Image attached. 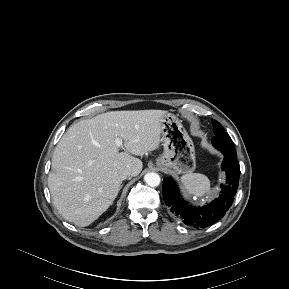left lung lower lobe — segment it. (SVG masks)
I'll use <instances>...</instances> for the list:
<instances>
[{"label": "left lung lower lobe", "mask_w": 289, "mask_h": 289, "mask_svg": "<svg viewBox=\"0 0 289 289\" xmlns=\"http://www.w3.org/2000/svg\"><path fill=\"white\" fill-rule=\"evenodd\" d=\"M224 154L222 170L226 173V183L221 185L219 196L202 207L189 205L180 193L176 183L170 179L163 180V198L170 211L181 218L186 225L205 228L219 221L231 207L237 192L240 167L236 150H221Z\"/></svg>", "instance_id": "0a47b994"}]
</instances>
